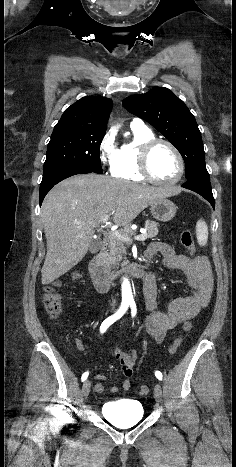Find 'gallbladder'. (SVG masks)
<instances>
[{
	"instance_id": "gallbladder-1",
	"label": "gallbladder",
	"mask_w": 236,
	"mask_h": 467,
	"mask_svg": "<svg viewBox=\"0 0 236 467\" xmlns=\"http://www.w3.org/2000/svg\"><path fill=\"white\" fill-rule=\"evenodd\" d=\"M100 249V240L99 239H94L91 241L90 246H89V251L91 253H96Z\"/></svg>"
}]
</instances>
